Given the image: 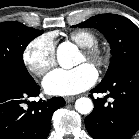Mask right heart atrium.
Wrapping results in <instances>:
<instances>
[{
  "label": "right heart atrium",
  "mask_w": 139,
  "mask_h": 139,
  "mask_svg": "<svg viewBox=\"0 0 139 139\" xmlns=\"http://www.w3.org/2000/svg\"><path fill=\"white\" fill-rule=\"evenodd\" d=\"M23 62L26 68L36 76H43L56 63L53 38L44 34L36 37L23 50Z\"/></svg>",
  "instance_id": "d8ad5b80"
}]
</instances>
